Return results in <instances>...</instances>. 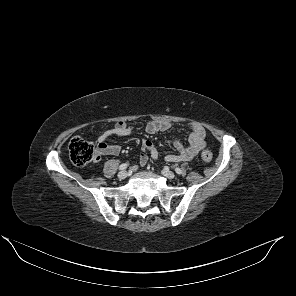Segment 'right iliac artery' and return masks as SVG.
I'll use <instances>...</instances> for the list:
<instances>
[{
	"mask_svg": "<svg viewBox=\"0 0 296 296\" xmlns=\"http://www.w3.org/2000/svg\"><path fill=\"white\" fill-rule=\"evenodd\" d=\"M127 164L126 163H124V164H121L120 166H119V170H124V169H126L127 168Z\"/></svg>",
	"mask_w": 296,
	"mask_h": 296,
	"instance_id": "1",
	"label": "right iliac artery"
}]
</instances>
